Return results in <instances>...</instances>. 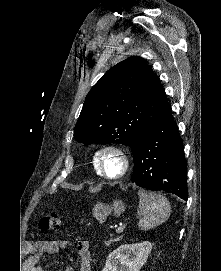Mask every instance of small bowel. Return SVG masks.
<instances>
[{
  "mask_svg": "<svg viewBox=\"0 0 221 271\" xmlns=\"http://www.w3.org/2000/svg\"><path fill=\"white\" fill-rule=\"evenodd\" d=\"M70 245L65 239L39 240L32 243L31 248L34 253L29 259V265L33 271H43V268L36 266L41 256L45 254H56L61 249ZM76 249L79 257V271H91V252L89 242L84 239L76 241ZM63 271H74L70 265L65 266Z\"/></svg>",
  "mask_w": 221,
  "mask_h": 271,
  "instance_id": "small-bowel-1",
  "label": "small bowel"
}]
</instances>
